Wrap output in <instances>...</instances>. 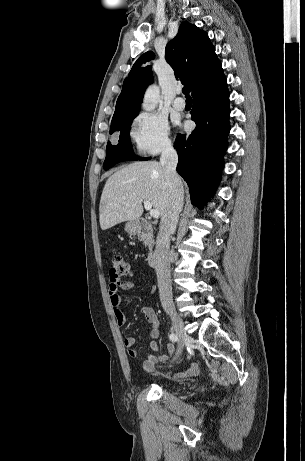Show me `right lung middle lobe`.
I'll list each match as a JSON object with an SVG mask.
<instances>
[{"instance_id": "right-lung-middle-lobe-1", "label": "right lung middle lobe", "mask_w": 305, "mask_h": 461, "mask_svg": "<svg viewBox=\"0 0 305 461\" xmlns=\"http://www.w3.org/2000/svg\"><path fill=\"white\" fill-rule=\"evenodd\" d=\"M135 117L136 116H133L122 120L110 129V134L115 131H119L120 138L118 144H111L110 142L107 143L106 158L103 165L105 170L113 167L121 161L139 159V157L135 156L132 152L129 136L130 125ZM140 160H148V158H142Z\"/></svg>"}]
</instances>
